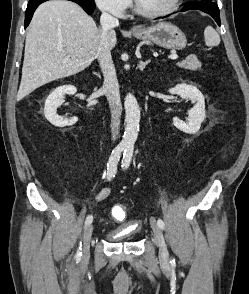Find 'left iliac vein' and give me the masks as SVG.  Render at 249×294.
<instances>
[{"label":"left iliac vein","mask_w":249,"mask_h":294,"mask_svg":"<svg viewBox=\"0 0 249 294\" xmlns=\"http://www.w3.org/2000/svg\"><path fill=\"white\" fill-rule=\"evenodd\" d=\"M150 222H151V228L153 230L155 239L157 241V245L159 247V258L163 263H167L169 254H168V250H167V246L164 240L162 230L153 218H151Z\"/></svg>","instance_id":"obj_1"}]
</instances>
